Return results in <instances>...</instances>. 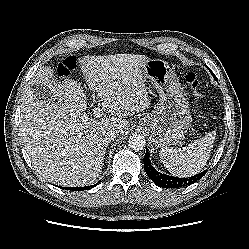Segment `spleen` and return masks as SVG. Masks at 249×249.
Returning <instances> with one entry per match:
<instances>
[{
	"label": "spleen",
	"instance_id": "spleen-1",
	"mask_svg": "<svg viewBox=\"0 0 249 249\" xmlns=\"http://www.w3.org/2000/svg\"><path fill=\"white\" fill-rule=\"evenodd\" d=\"M215 132H209L199 140L183 148L162 147L160 160L168 171L177 177H190L199 173L211 155Z\"/></svg>",
	"mask_w": 249,
	"mask_h": 249
}]
</instances>
